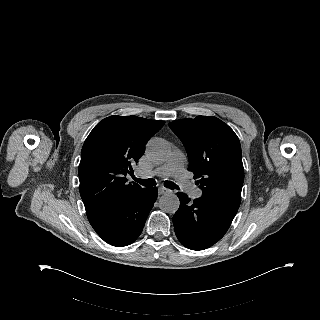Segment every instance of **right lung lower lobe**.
I'll return each instance as SVG.
<instances>
[{
  "label": "right lung lower lobe",
  "mask_w": 320,
  "mask_h": 320,
  "mask_svg": "<svg viewBox=\"0 0 320 320\" xmlns=\"http://www.w3.org/2000/svg\"><path fill=\"white\" fill-rule=\"evenodd\" d=\"M156 199L157 188H143L125 202L88 219L105 242L117 247L127 246L141 234Z\"/></svg>",
  "instance_id": "obj_1"
}]
</instances>
